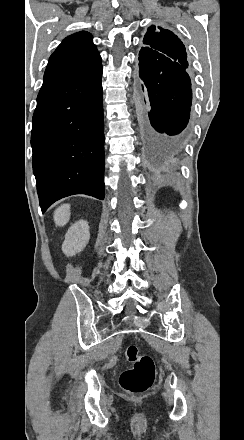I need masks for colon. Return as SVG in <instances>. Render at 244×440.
Masks as SVG:
<instances>
[{
	"label": "colon",
	"instance_id": "1",
	"mask_svg": "<svg viewBox=\"0 0 244 440\" xmlns=\"http://www.w3.org/2000/svg\"><path fill=\"white\" fill-rule=\"evenodd\" d=\"M125 359L130 363H135V369L122 373L120 377L123 389L134 394H141L149 389L155 379V366L151 356L140 353L136 345H128Z\"/></svg>",
	"mask_w": 244,
	"mask_h": 440
}]
</instances>
